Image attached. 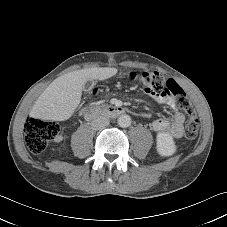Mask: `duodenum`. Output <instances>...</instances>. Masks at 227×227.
<instances>
[{"label": "duodenum", "instance_id": "1", "mask_svg": "<svg viewBox=\"0 0 227 227\" xmlns=\"http://www.w3.org/2000/svg\"><path fill=\"white\" fill-rule=\"evenodd\" d=\"M125 113L126 110L123 107L119 106H103V107L88 106L84 110V117L87 120H92L100 115L117 117Z\"/></svg>", "mask_w": 227, "mask_h": 227}]
</instances>
